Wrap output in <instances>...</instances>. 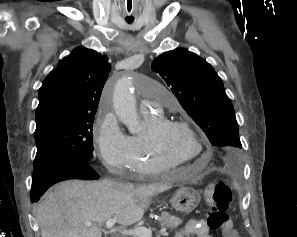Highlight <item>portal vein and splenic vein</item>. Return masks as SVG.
Wrapping results in <instances>:
<instances>
[{"instance_id":"18ae733b","label":"portal vein and splenic vein","mask_w":297,"mask_h":237,"mask_svg":"<svg viewBox=\"0 0 297 237\" xmlns=\"http://www.w3.org/2000/svg\"><path fill=\"white\" fill-rule=\"evenodd\" d=\"M117 222V219L116 218H111L109 220H107L106 222V227L107 228H112L115 223ZM85 225L87 227H90L92 225L91 222H86ZM166 228H162L160 230V234L164 235L166 234ZM122 235L124 236H134V237H152V231L150 229H147L145 227H137L135 229H132V230H120L119 231Z\"/></svg>"}]
</instances>
